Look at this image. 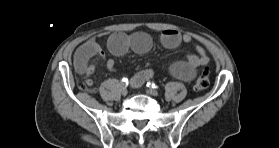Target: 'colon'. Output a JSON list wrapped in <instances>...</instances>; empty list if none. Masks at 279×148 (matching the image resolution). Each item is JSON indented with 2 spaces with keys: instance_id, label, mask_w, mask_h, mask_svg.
<instances>
[{
  "instance_id": "obj_1",
  "label": "colon",
  "mask_w": 279,
  "mask_h": 148,
  "mask_svg": "<svg viewBox=\"0 0 279 148\" xmlns=\"http://www.w3.org/2000/svg\"><path fill=\"white\" fill-rule=\"evenodd\" d=\"M78 85L81 89L88 90L91 86V82L88 79H79ZM209 86V70L203 68L198 73V76L194 83V89L196 91L205 90Z\"/></svg>"
}]
</instances>
